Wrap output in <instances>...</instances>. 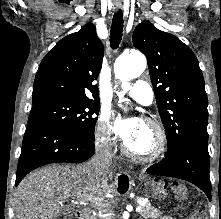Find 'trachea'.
Segmentation results:
<instances>
[{
    "instance_id": "trachea-1",
    "label": "trachea",
    "mask_w": 221,
    "mask_h": 219,
    "mask_svg": "<svg viewBox=\"0 0 221 219\" xmlns=\"http://www.w3.org/2000/svg\"><path fill=\"white\" fill-rule=\"evenodd\" d=\"M122 33H123V13L122 10H118L115 12L112 24H111V30H110V46L112 49H117L121 39H122Z\"/></svg>"
}]
</instances>
